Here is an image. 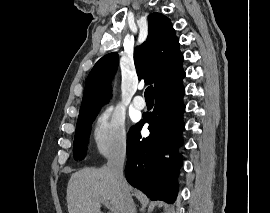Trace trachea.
Here are the masks:
<instances>
[{"instance_id": "obj_1", "label": "trachea", "mask_w": 270, "mask_h": 213, "mask_svg": "<svg viewBox=\"0 0 270 213\" xmlns=\"http://www.w3.org/2000/svg\"><path fill=\"white\" fill-rule=\"evenodd\" d=\"M155 97V91L153 86H149L145 90V99H152L154 100Z\"/></svg>"}]
</instances>
